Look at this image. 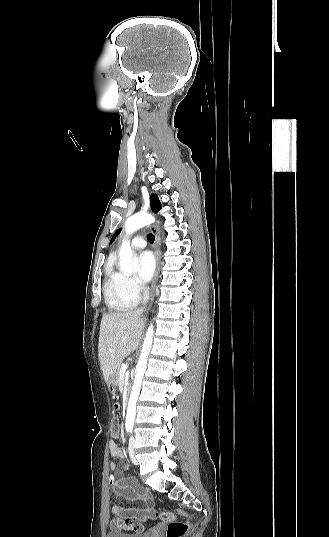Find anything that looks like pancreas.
Wrapping results in <instances>:
<instances>
[{"label": "pancreas", "instance_id": "obj_1", "mask_svg": "<svg viewBox=\"0 0 329 537\" xmlns=\"http://www.w3.org/2000/svg\"><path fill=\"white\" fill-rule=\"evenodd\" d=\"M121 366H122V365H120V366L117 368L116 372H115V383H116V385L120 382V379H121V374H122V372H121Z\"/></svg>", "mask_w": 329, "mask_h": 537}]
</instances>
